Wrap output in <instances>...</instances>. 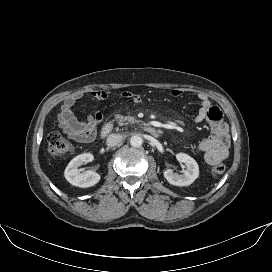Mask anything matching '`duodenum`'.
<instances>
[{
  "label": "duodenum",
  "mask_w": 272,
  "mask_h": 272,
  "mask_svg": "<svg viewBox=\"0 0 272 272\" xmlns=\"http://www.w3.org/2000/svg\"><path fill=\"white\" fill-rule=\"evenodd\" d=\"M141 127L146 133L150 134L153 137H158L160 135L159 130L156 129L155 127H153V126L143 124ZM112 130H113V123L108 122L102 127L100 134H101L102 137H105Z\"/></svg>",
  "instance_id": "1"
}]
</instances>
